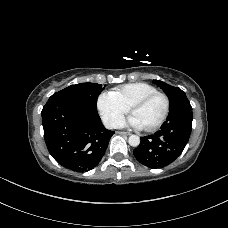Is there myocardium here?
Returning a JSON list of instances; mask_svg holds the SVG:
<instances>
[{
  "mask_svg": "<svg viewBox=\"0 0 228 228\" xmlns=\"http://www.w3.org/2000/svg\"><path fill=\"white\" fill-rule=\"evenodd\" d=\"M158 96L163 98V100H164V111H163L160 119L154 125L147 127V128H143V130L146 132H154V131L158 130L166 121L168 114H169V111H170L169 97L163 92L156 91V92H153V93H150V94H147V95L141 97L140 99L135 101L129 108V112L132 114V112L136 108L145 105L150 100H152L153 98L158 97Z\"/></svg>",
  "mask_w": 228,
  "mask_h": 228,
  "instance_id": "obj_1",
  "label": "myocardium"
}]
</instances>
